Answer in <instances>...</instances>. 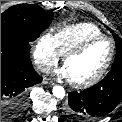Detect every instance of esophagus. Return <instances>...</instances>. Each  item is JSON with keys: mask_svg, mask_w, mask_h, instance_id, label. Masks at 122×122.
I'll return each mask as SVG.
<instances>
[{"mask_svg": "<svg viewBox=\"0 0 122 122\" xmlns=\"http://www.w3.org/2000/svg\"><path fill=\"white\" fill-rule=\"evenodd\" d=\"M43 83H44V84H49V85H51V86L54 85V82L51 81L50 79H47V78H44V79H43Z\"/></svg>", "mask_w": 122, "mask_h": 122, "instance_id": "obj_1", "label": "esophagus"}]
</instances>
